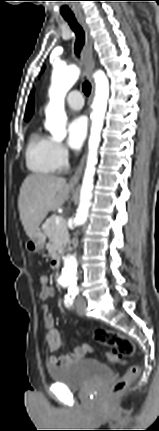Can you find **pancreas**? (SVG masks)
<instances>
[{
	"mask_svg": "<svg viewBox=\"0 0 159 431\" xmlns=\"http://www.w3.org/2000/svg\"><path fill=\"white\" fill-rule=\"evenodd\" d=\"M55 218L56 215L50 216L42 226L44 235L50 240L48 250L51 256L63 250L69 237L66 223L62 221L59 225H56Z\"/></svg>",
	"mask_w": 159,
	"mask_h": 431,
	"instance_id": "obj_1",
	"label": "pancreas"
}]
</instances>
